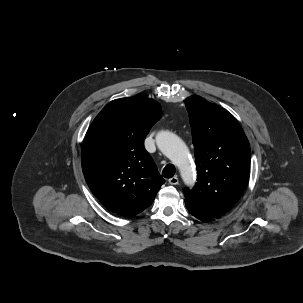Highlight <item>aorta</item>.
Masks as SVG:
<instances>
[{
  "label": "aorta",
  "mask_w": 303,
  "mask_h": 303,
  "mask_svg": "<svg viewBox=\"0 0 303 303\" xmlns=\"http://www.w3.org/2000/svg\"><path fill=\"white\" fill-rule=\"evenodd\" d=\"M156 143L160 151L177 165L185 183L191 184L193 171L184 142L172 132L161 131L156 136Z\"/></svg>",
  "instance_id": "1"
}]
</instances>
